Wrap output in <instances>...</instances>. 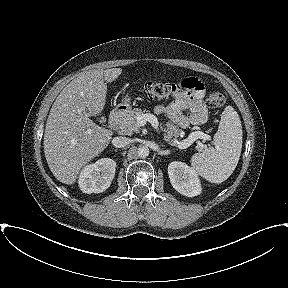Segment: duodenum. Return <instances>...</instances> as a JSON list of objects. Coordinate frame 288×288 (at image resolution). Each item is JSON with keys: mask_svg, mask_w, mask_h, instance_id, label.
Masks as SVG:
<instances>
[{"mask_svg": "<svg viewBox=\"0 0 288 288\" xmlns=\"http://www.w3.org/2000/svg\"><path fill=\"white\" fill-rule=\"evenodd\" d=\"M124 112H125V110L122 107L115 108L111 111V113L109 115L110 128L114 129L117 126V124L120 121V119L122 118Z\"/></svg>", "mask_w": 288, "mask_h": 288, "instance_id": "duodenum-1", "label": "duodenum"}]
</instances>
